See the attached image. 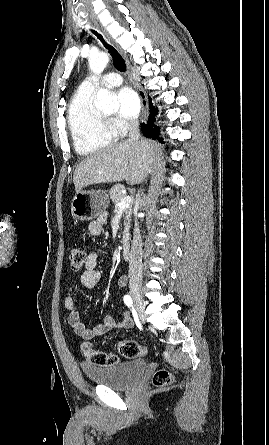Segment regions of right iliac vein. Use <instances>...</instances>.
Wrapping results in <instances>:
<instances>
[{
  "label": "right iliac vein",
  "instance_id": "obj_1",
  "mask_svg": "<svg viewBox=\"0 0 269 445\" xmlns=\"http://www.w3.org/2000/svg\"><path fill=\"white\" fill-rule=\"evenodd\" d=\"M130 293H131V296L134 300L135 306H136L140 316L142 318H144L145 303H144L140 288L132 287Z\"/></svg>",
  "mask_w": 269,
  "mask_h": 445
}]
</instances>
